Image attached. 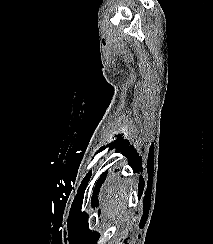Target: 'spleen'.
Masks as SVG:
<instances>
[{"mask_svg": "<svg viewBox=\"0 0 213 244\" xmlns=\"http://www.w3.org/2000/svg\"><path fill=\"white\" fill-rule=\"evenodd\" d=\"M130 192L128 181H109L99 194L101 210V229L106 230L111 225L121 222L127 215V202Z\"/></svg>", "mask_w": 213, "mask_h": 244, "instance_id": "1", "label": "spleen"}]
</instances>
